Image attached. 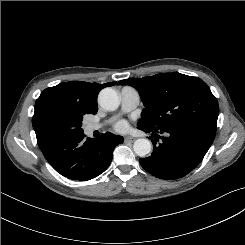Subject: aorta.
Wrapping results in <instances>:
<instances>
[{
    "label": "aorta",
    "mask_w": 245,
    "mask_h": 245,
    "mask_svg": "<svg viewBox=\"0 0 245 245\" xmlns=\"http://www.w3.org/2000/svg\"><path fill=\"white\" fill-rule=\"evenodd\" d=\"M99 105L107 111H114L120 104L118 93L112 88H104L98 96ZM134 152L140 156H146L151 152V143L149 140L140 138L134 142Z\"/></svg>",
    "instance_id": "762f6f07"
}]
</instances>
